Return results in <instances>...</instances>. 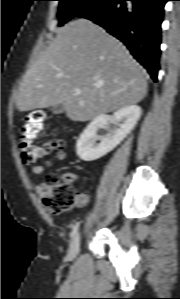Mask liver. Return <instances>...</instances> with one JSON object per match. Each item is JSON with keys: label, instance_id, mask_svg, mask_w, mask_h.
I'll return each instance as SVG.
<instances>
[{"label": "liver", "instance_id": "liver-1", "mask_svg": "<svg viewBox=\"0 0 180 299\" xmlns=\"http://www.w3.org/2000/svg\"><path fill=\"white\" fill-rule=\"evenodd\" d=\"M146 93V71L126 47L93 22L78 19L58 30L26 72L16 105L24 112L62 104L70 120L84 122L135 105Z\"/></svg>", "mask_w": 180, "mask_h": 299}]
</instances>
